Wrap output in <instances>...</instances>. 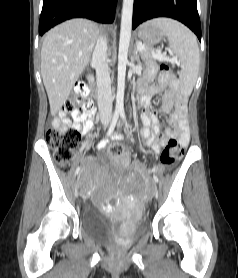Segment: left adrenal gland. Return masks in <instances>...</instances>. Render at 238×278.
I'll return each instance as SVG.
<instances>
[{
    "mask_svg": "<svg viewBox=\"0 0 238 278\" xmlns=\"http://www.w3.org/2000/svg\"><path fill=\"white\" fill-rule=\"evenodd\" d=\"M137 43H138V41H136V44H135V47H134V51H133V56H132V60H136L137 61V63H141L140 62V57H139V54H138V49H137Z\"/></svg>",
    "mask_w": 238,
    "mask_h": 278,
    "instance_id": "left-adrenal-gland-1",
    "label": "left adrenal gland"
}]
</instances>
